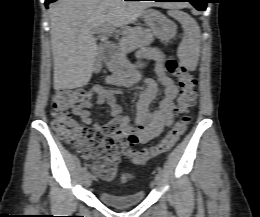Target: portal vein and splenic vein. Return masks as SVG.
<instances>
[{"label":"portal vein and splenic vein","mask_w":260,"mask_h":217,"mask_svg":"<svg viewBox=\"0 0 260 217\" xmlns=\"http://www.w3.org/2000/svg\"><path fill=\"white\" fill-rule=\"evenodd\" d=\"M114 27L112 26H104V27H100V28H96L92 31V34H96V33H112L114 31Z\"/></svg>","instance_id":"obj_1"}]
</instances>
